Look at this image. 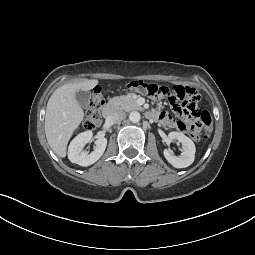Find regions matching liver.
Returning a JSON list of instances; mask_svg holds the SVG:
<instances>
[{"instance_id":"1","label":"liver","mask_w":255,"mask_h":255,"mask_svg":"<svg viewBox=\"0 0 255 255\" xmlns=\"http://www.w3.org/2000/svg\"><path fill=\"white\" fill-rule=\"evenodd\" d=\"M97 84V79L67 83L58 87L51 95L46 107L45 134L57 156H66L67 144L84 118L76 93L91 90Z\"/></svg>"}]
</instances>
